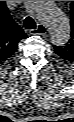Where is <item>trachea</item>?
<instances>
[{
	"instance_id": "3493384b",
	"label": "trachea",
	"mask_w": 74,
	"mask_h": 122,
	"mask_svg": "<svg viewBox=\"0 0 74 122\" xmlns=\"http://www.w3.org/2000/svg\"><path fill=\"white\" fill-rule=\"evenodd\" d=\"M24 27L28 30H33V29L37 28L34 19L32 17H29V16L26 17L24 20Z\"/></svg>"
}]
</instances>
